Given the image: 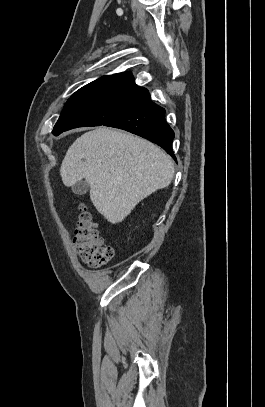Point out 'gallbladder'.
Instances as JSON below:
<instances>
[{"instance_id":"bac80fb5","label":"gallbladder","mask_w":265,"mask_h":407,"mask_svg":"<svg viewBox=\"0 0 265 407\" xmlns=\"http://www.w3.org/2000/svg\"><path fill=\"white\" fill-rule=\"evenodd\" d=\"M88 189L89 184L86 182V180L78 181L72 186V191L76 195H84L87 193Z\"/></svg>"}]
</instances>
